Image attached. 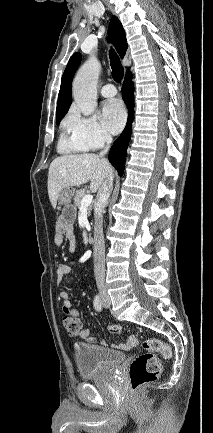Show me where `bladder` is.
<instances>
[{"mask_svg":"<svg viewBox=\"0 0 213 433\" xmlns=\"http://www.w3.org/2000/svg\"><path fill=\"white\" fill-rule=\"evenodd\" d=\"M125 354L98 345L78 343L74 358L82 379L103 378L112 373L125 359Z\"/></svg>","mask_w":213,"mask_h":433,"instance_id":"31cf9c89","label":"bladder"}]
</instances>
